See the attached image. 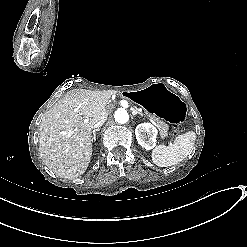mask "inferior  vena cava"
Here are the masks:
<instances>
[{"mask_svg": "<svg viewBox=\"0 0 247 247\" xmlns=\"http://www.w3.org/2000/svg\"><path fill=\"white\" fill-rule=\"evenodd\" d=\"M107 120V117H101L93 126L94 129H98L100 128L104 123L105 121Z\"/></svg>", "mask_w": 247, "mask_h": 247, "instance_id": "obj_1", "label": "inferior vena cava"}]
</instances>
